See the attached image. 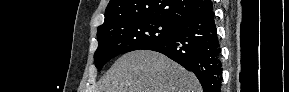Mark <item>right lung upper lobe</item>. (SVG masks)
<instances>
[{"label": "right lung upper lobe", "mask_w": 289, "mask_h": 92, "mask_svg": "<svg viewBox=\"0 0 289 92\" xmlns=\"http://www.w3.org/2000/svg\"><path fill=\"white\" fill-rule=\"evenodd\" d=\"M212 8L210 0H110L104 23L98 30L121 21L148 17L180 22Z\"/></svg>", "instance_id": "cb5924a9"}]
</instances>
